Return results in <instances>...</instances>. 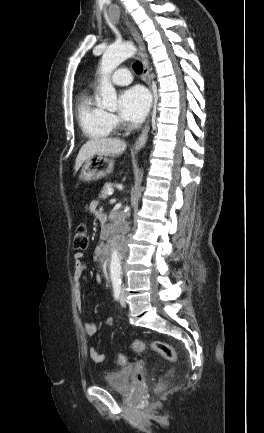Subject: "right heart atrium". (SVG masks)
Listing matches in <instances>:
<instances>
[{
	"instance_id": "right-heart-atrium-1",
	"label": "right heart atrium",
	"mask_w": 264,
	"mask_h": 433,
	"mask_svg": "<svg viewBox=\"0 0 264 433\" xmlns=\"http://www.w3.org/2000/svg\"><path fill=\"white\" fill-rule=\"evenodd\" d=\"M109 118H110V121H111L112 124H115V123H116V118H115V116H113V115H109Z\"/></svg>"
}]
</instances>
